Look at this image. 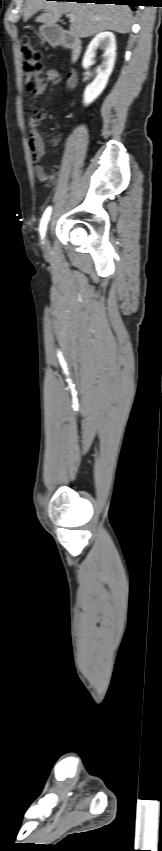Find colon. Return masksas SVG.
I'll return each instance as SVG.
<instances>
[{"instance_id": "1", "label": "colon", "mask_w": 162, "mask_h": 851, "mask_svg": "<svg viewBox=\"0 0 162 851\" xmlns=\"http://www.w3.org/2000/svg\"><path fill=\"white\" fill-rule=\"evenodd\" d=\"M22 56L25 88L28 92H34L42 75L41 54L28 38L23 39Z\"/></svg>"}]
</instances>
